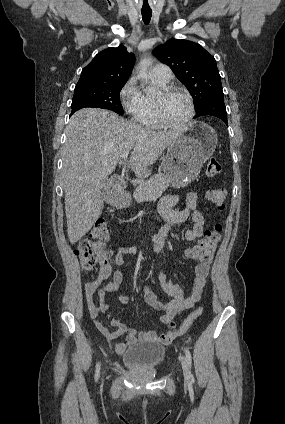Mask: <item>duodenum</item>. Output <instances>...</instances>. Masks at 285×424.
I'll use <instances>...</instances> for the list:
<instances>
[{
	"mask_svg": "<svg viewBox=\"0 0 285 424\" xmlns=\"http://www.w3.org/2000/svg\"><path fill=\"white\" fill-rule=\"evenodd\" d=\"M110 185L113 193H118L124 190L125 181L120 176H113L110 180Z\"/></svg>",
	"mask_w": 285,
	"mask_h": 424,
	"instance_id": "obj_1",
	"label": "duodenum"
}]
</instances>
